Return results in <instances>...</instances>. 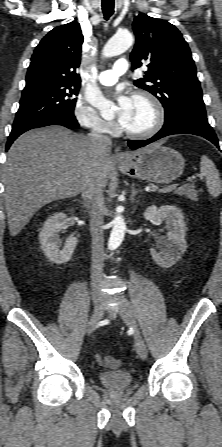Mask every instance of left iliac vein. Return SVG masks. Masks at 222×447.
Returning <instances> with one entry per match:
<instances>
[{"instance_id":"left-iliac-vein-1","label":"left iliac vein","mask_w":222,"mask_h":447,"mask_svg":"<svg viewBox=\"0 0 222 447\" xmlns=\"http://www.w3.org/2000/svg\"><path fill=\"white\" fill-rule=\"evenodd\" d=\"M119 301V313L127 325L131 326L134 329V339H135V346L136 351L140 359L146 360L147 359V348L144 343V340L142 338V335L137 327L136 317L134 310L131 306V304L124 298L120 297L118 298Z\"/></svg>"}]
</instances>
